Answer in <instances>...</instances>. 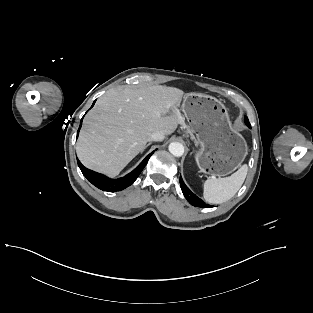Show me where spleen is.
<instances>
[{"label": "spleen", "mask_w": 313, "mask_h": 313, "mask_svg": "<svg viewBox=\"0 0 313 313\" xmlns=\"http://www.w3.org/2000/svg\"><path fill=\"white\" fill-rule=\"evenodd\" d=\"M248 171L246 164L225 178H210L203 184V197L207 203L221 204L230 200L241 188Z\"/></svg>", "instance_id": "3e777b00"}]
</instances>
